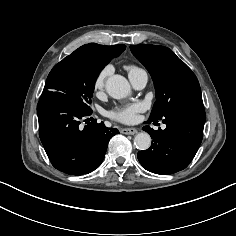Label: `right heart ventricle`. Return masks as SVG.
Listing matches in <instances>:
<instances>
[{"label":"right heart ventricle","instance_id":"right-heart-ventricle-1","mask_svg":"<svg viewBox=\"0 0 236 236\" xmlns=\"http://www.w3.org/2000/svg\"><path fill=\"white\" fill-rule=\"evenodd\" d=\"M127 70L129 72V75H132L140 70H142L141 68L137 67V66H134V65H129L127 66Z\"/></svg>","mask_w":236,"mask_h":236}]
</instances>
